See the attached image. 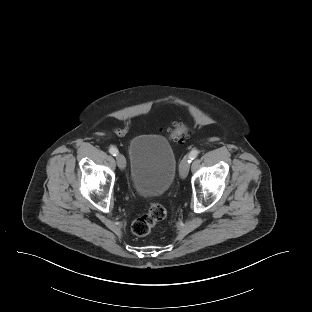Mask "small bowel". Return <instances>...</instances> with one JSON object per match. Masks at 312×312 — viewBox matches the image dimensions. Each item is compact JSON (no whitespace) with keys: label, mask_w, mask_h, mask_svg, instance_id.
I'll return each mask as SVG.
<instances>
[{"label":"small bowel","mask_w":312,"mask_h":312,"mask_svg":"<svg viewBox=\"0 0 312 312\" xmlns=\"http://www.w3.org/2000/svg\"><path fill=\"white\" fill-rule=\"evenodd\" d=\"M112 131L118 136H124L128 132V128L126 126L118 127V128H113Z\"/></svg>","instance_id":"c3829d8e"}]
</instances>
